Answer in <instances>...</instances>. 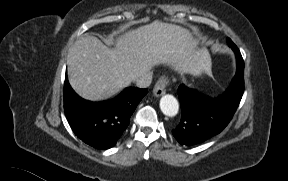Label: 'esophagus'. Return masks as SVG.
I'll list each match as a JSON object with an SVG mask.
<instances>
[{"label":"esophagus","instance_id":"esophagus-1","mask_svg":"<svg viewBox=\"0 0 288 181\" xmlns=\"http://www.w3.org/2000/svg\"><path fill=\"white\" fill-rule=\"evenodd\" d=\"M169 85V80L166 76H162L159 78L157 83L153 88V94L156 97H160L166 92V87Z\"/></svg>","mask_w":288,"mask_h":181}]
</instances>
